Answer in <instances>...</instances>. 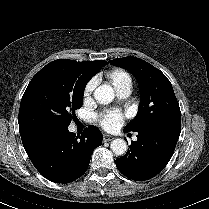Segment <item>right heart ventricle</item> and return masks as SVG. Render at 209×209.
<instances>
[{"label":"right heart ventricle","mask_w":209,"mask_h":209,"mask_svg":"<svg viewBox=\"0 0 209 209\" xmlns=\"http://www.w3.org/2000/svg\"><path fill=\"white\" fill-rule=\"evenodd\" d=\"M109 78L111 79L115 89L122 87L132 86V78L128 72L122 69H114L110 72Z\"/></svg>","instance_id":"right-heart-ventricle-1"}]
</instances>
